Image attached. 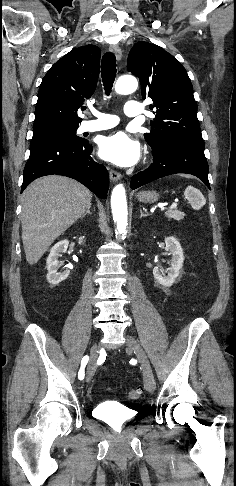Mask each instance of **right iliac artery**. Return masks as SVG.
Wrapping results in <instances>:
<instances>
[{
  "label": "right iliac artery",
  "mask_w": 236,
  "mask_h": 486,
  "mask_svg": "<svg viewBox=\"0 0 236 486\" xmlns=\"http://www.w3.org/2000/svg\"><path fill=\"white\" fill-rule=\"evenodd\" d=\"M88 360H89V357H88L87 355H86V356H84V357L82 358V361H81V368H80V370H79V372H78V378H79L80 380H82V379L84 378V375H85V374H84V369H85V366H86V365H87V363H88Z\"/></svg>",
  "instance_id": "obj_1"
}]
</instances>
